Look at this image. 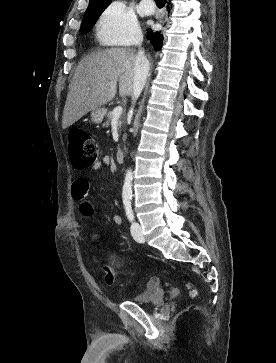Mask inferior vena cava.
I'll use <instances>...</instances> for the list:
<instances>
[{"label": "inferior vena cava", "instance_id": "602c4592", "mask_svg": "<svg viewBox=\"0 0 276 363\" xmlns=\"http://www.w3.org/2000/svg\"><path fill=\"white\" fill-rule=\"evenodd\" d=\"M138 45H141V41L138 42ZM150 64L148 59L145 56L144 50L139 49L138 53L135 56L134 61V81H133V99H137L146 83V79L149 75ZM133 109L130 110L132 112Z\"/></svg>", "mask_w": 276, "mask_h": 363}]
</instances>
